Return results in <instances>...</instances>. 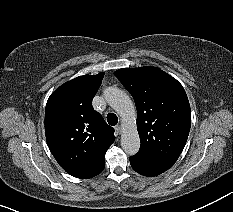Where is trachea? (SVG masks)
I'll list each match as a JSON object with an SVG mask.
<instances>
[{
  "label": "trachea",
  "instance_id": "obj_1",
  "mask_svg": "<svg viewBox=\"0 0 233 212\" xmlns=\"http://www.w3.org/2000/svg\"><path fill=\"white\" fill-rule=\"evenodd\" d=\"M107 122L111 126H115L118 123V117L114 113H109L107 115Z\"/></svg>",
  "mask_w": 233,
  "mask_h": 212
}]
</instances>
